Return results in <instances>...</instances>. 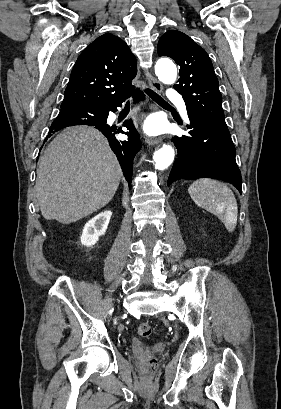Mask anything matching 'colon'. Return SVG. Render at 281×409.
<instances>
[{"instance_id":"5ec220e1","label":"colon","mask_w":281,"mask_h":409,"mask_svg":"<svg viewBox=\"0 0 281 409\" xmlns=\"http://www.w3.org/2000/svg\"><path fill=\"white\" fill-rule=\"evenodd\" d=\"M137 333L141 336H149L151 333V325L149 323H140L137 326ZM157 364V361L154 357H148L145 361H144V368L145 370H153L155 369Z\"/></svg>"}]
</instances>
